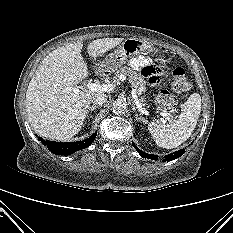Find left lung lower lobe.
Segmentation results:
<instances>
[{"mask_svg":"<svg viewBox=\"0 0 233 233\" xmlns=\"http://www.w3.org/2000/svg\"><path fill=\"white\" fill-rule=\"evenodd\" d=\"M134 148L137 150V152L144 158H148V159H153V160H157L158 159V156L157 155H153V154H147L145 152H143L142 150H140L139 148H137V146H135V144H133ZM185 153V150L182 149V150H178V151H175L171 154H168L165 156V160L166 161H172L180 156H182L183 154Z\"/></svg>","mask_w":233,"mask_h":233,"instance_id":"obj_1","label":"left lung lower lobe"}]
</instances>
